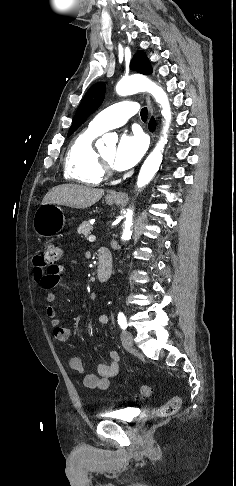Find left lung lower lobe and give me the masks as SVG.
<instances>
[{
	"label": "left lung lower lobe",
	"instance_id": "1",
	"mask_svg": "<svg viewBox=\"0 0 236 486\" xmlns=\"http://www.w3.org/2000/svg\"><path fill=\"white\" fill-rule=\"evenodd\" d=\"M154 125H155V122H154V119H152V120L150 121V124H149V127H150V129H151V130H153V129H154Z\"/></svg>",
	"mask_w": 236,
	"mask_h": 486
}]
</instances>
